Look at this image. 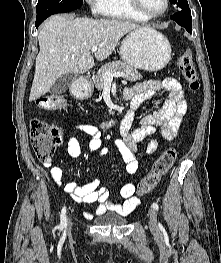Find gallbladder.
Here are the masks:
<instances>
[{
	"label": "gallbladder",
	"instance_id": "1",
	"mask_svg": "<svg viewBox=\"0 0 221 263\" xmlns=\"http://www.w3.org/2000/svg\"><path fill=\"white\" fill-rule=\"evenodd\" d=\"M77 78V74L68 73L60 76L50 89V93L54 95H60L65 93L69 87H71L74 80Z\"/></svg>",
	"mask_w": 221,
	"mask_h": 263
}]
</instances>
